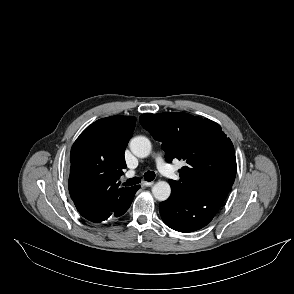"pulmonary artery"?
<instances>
[{
  "mask_svg": "<svg viewBox=\"0 0 294 294\" xmlns=\"http://www.w3.org/2000/svg\"><path fill=\"white\" fill-rule=\"evenodd\" d=\"M156 165L158 169L163 173H167L170 171V166L160 156L156 158ZM133 174H134L133 171L128 172V176H132Z\"/></svg>",
  "mask_w": 294,
  "mask_h": 294,
  "instance_id": "pulmonary-artery-1",
  "label": "pulmonary artery"
}]
</instances>
